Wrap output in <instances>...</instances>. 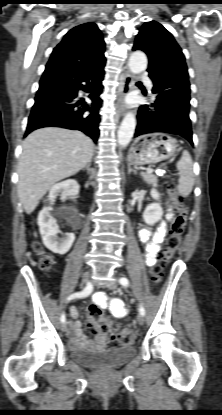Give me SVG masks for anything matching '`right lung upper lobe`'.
<instances>
[{"label": "right lung upper lobe", "instance_id": "right-lung-upper-lobe-1", "mask_svg": "<svg viewBox=\"0 0 222 415\" xmlns=\"http://www.w3.org/2000/svg\"><path fill=\"white\" fill-rule=\"evenodd\" d=\"M105 42L95 23L71 29L54 48L47 65L88 70L105 64Z\"/></svg>", "mask_w": 222, "mask_h": 415}]
</instances>
